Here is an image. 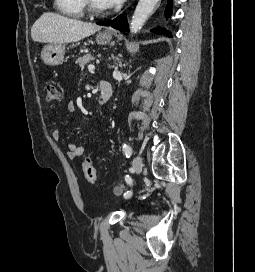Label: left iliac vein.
Masks as SVG:
<instances>
[{"mask_svg":"<svg viewBox=\"0 0 255 272\" xmlns=\"http://www.w3.org/2000/svg\"><path fill=\"white\" fill-rule=\"evenodd\" d=\"M133 169L136 174H139L142 171V160L139 156H135L132 161Z\"/></svg>","mask_w":255,"mask_h":272,"instance_id":"obj_1","label":"left iliac vein"}]
</instances>
